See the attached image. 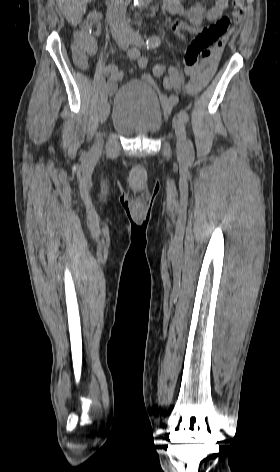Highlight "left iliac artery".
<instances>
[{"mask_svg":"<svg viewBox=\"0 0 280 472\" xmlns=\"http://www.w3.org/2000/svg\"><path fill=\"white\" fill-rule=\"evenodd\" d=\"M161 41L158 36H151L147 39L146 41V46L149 49L156 48L160 45ZM169 75H170V81L172 88L175 90H179L182 87V80L179 75L178 70L174 67L171 66L168 69ZM178 117L184 122L187 123L189 121V116L188 113L185 110H181L178 114Z\"/></svg>","mask_w":280,"mask_h":472,"instance_id":"left-iliac-artery-1","label":"left iliac artery"}]
</instances>
